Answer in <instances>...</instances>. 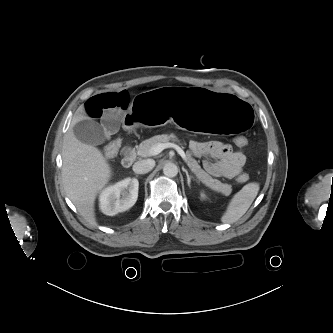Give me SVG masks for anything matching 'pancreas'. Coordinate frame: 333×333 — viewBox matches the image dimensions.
Segmentation results:
<instances>
[{
	"mask_svg": "<svg viewBox=\"0 0 333 333\" xmlns=\"http://www.w3.org/2000/svg\"><path fill=\"white\" fill-rule=\"evenodd\" d=\"M169 141H178L176 136L174 134H162V135H156L151 137L150 139H147L140 143L139 146L136 147L137 149V155L142 157L151 156L150 153L151 148L158 143H166ZM187 164L193 174L198 178L199 181L204 183L206 186L211 188L212 190L216 192H220L226 196L231 194L232 188L229 184H223L217 179H213L207 172H205L198 162L192 157L191 153L188 152L187 154Z\"/></svg>",
	"mask_w": 333,
	"mask_h": 333,
	"instance_id": "1",
	"label": "pancreas"
}]
</instances>
